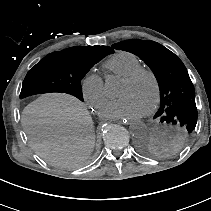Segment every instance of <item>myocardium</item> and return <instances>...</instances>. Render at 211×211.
I'll return each instance as SVG.
<instances>
[{
  "instance_id": "1",
  "label": "myocardium",
  "mask_w": 211,
  "mask_h": 211,
  "mask_svg": "<svg viewBox=\"0 0 211 211\" xmlns=\"http://www.w3.org/2000/svg\"><path fill=\"white\" fill-rule=\"evenodd\" d=\"M142 75L148 76L154 85V99L152 104L144 111V114L149 115L157 110L161 101V85L156 73L149 68L140 67L123 77L122 81L134 82Z\"/></svg>"
}]
</instances>
